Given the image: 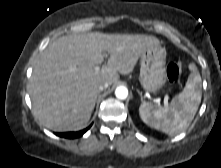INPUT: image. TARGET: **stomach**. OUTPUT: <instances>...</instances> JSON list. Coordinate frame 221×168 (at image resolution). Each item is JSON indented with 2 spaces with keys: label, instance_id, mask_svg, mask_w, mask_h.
Wrapping results in <instances>:
<instances>
[{
  "label": "stomach",
  "instance_id": "obj_1",
  "mask_svg": "<svg viewBox=\"0 0 221 168\" xmlns=\"http://www.w3.org/2000/svg\"><path fill=\"white\" fill-rule=\"evenodd\" d=\"M165 49L161 47L144 51L140 59V83L142 88L151 93L160 90L166 82Z\"/></svg>",
  "mask_w": 221,
  "mask_h": 168
}]
</instances>
